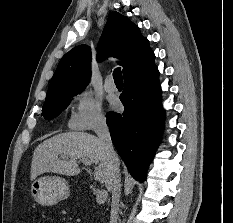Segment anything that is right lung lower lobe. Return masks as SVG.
Returning <instances> with one entry per match:
<instances>
[{"instance_id": "right-lung-lower-lobe-1", "label": "right lung lower lobe", "mask_w": 233, "mask_h": 223, "mask_svg": "<svg viewBox=\"0 0 233 223\" xmlns=\"http://www.w3.org/2000/svg\"><path fill=\"white\" fill-rule=\"evenodd\" d=\"M158 76L154 63L127 76L120 96L124 112L107 114L112 142L130 174L140 182L146 178L163 132L165 114Z\"/></svg>"}]
</instances>
